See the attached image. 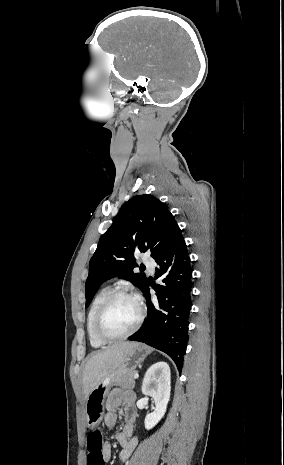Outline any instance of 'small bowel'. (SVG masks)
<instances>
[{"label":"small bowel","mask_w":284,"mask_h":465,"mask_svg":"<svg viewBox=\"0 0 284 465\" xmlns=\"http://www.w3.org/2000/svg\"><path fill=\"white\" fill-rule=\"evenodd\" d=\"M135 393L132 391H122L119 388L113 389L106 401L107 412L104 417L105 425L112 428L118 421V410L122 407L124 426L120 432L116 434V440L121 445L119 454L122 464L126 463L132 452L138 444V439L134 436V422L136 420V411L133 408L135 401ZM112 455V447L109 442L103 445V456L106 461L110 460Z\"/></svg>","instance_id":"1"}]
</instances>
